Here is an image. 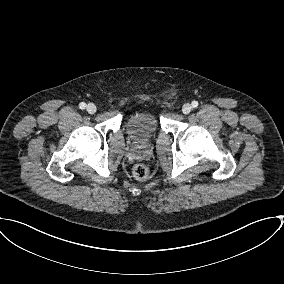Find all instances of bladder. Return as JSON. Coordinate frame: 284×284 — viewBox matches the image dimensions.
Returning a JSON list of instances; mask_svg holds the SVG:
<instances>
[{"mask_svg":"<svg viewBox=\"0 0 284 284\" xmlns=\"http://www.w3.org/2000/svg\"><path fill=\"white\" fill-rule=\"evenodd\" d=\"M127 132L131 139L138 144L149 142L157 132L158 118L150 110H141L127 120Z\"/></svg>","mask_w":284,"mask_h":284,"instance_id":"1","label":"bladder"}]
</instances>
